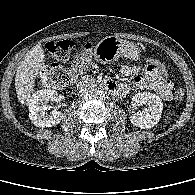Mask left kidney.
<instances>
[{"mask_svg":"<svg viewBox=\"0 0 195 195\" xmlns=\"http://www.w3.org/2000/svg\"><path fill=\"white\" fill-rule=\"evenodd\" d=\"M131 105H145L142 111H138L130 117V121L134 126L141 129H150L159 122L163 103L157 95L147 92L137 93L132 97Z\"/></svg>","mask_w":195,"mask_h":195,"instance_id":"left-kidney-1","label":"left kidney"}]
</instances>
